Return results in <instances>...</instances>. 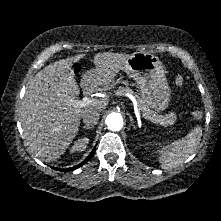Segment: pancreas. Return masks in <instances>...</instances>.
<instances>
[{"label":"pancreas","instance_id":"pancreas-1","mask_svg":"<svg viewBox=\"0 0 221 221\" xmlns=\"http://www.w3.org/2000/svg\"><path fill=\"white\" fill-rule=\"evenodd\" d=\"M125 93L134 95L137 99V107L138 110L142 112L143 115L152 118L154 120L159 121L164 126H170L173 125L176 121V115L171 112L166 115L157 114L155 111L151 110L142 99L138 97V95L128 86H120L116 91V95H123Z\"/></svg>","mask_w":221,"mask_h":221}]
</instances>
